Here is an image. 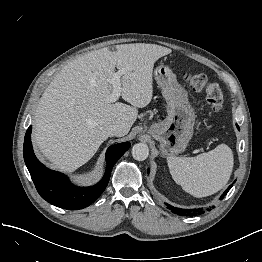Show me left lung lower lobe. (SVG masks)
I'll return each mask as SVG.
<instances>
[{"mask_svg": "<svg viewBox=\"0 0 262 262\" xmlns=\"http://www.w3.org/2000/svg\"><path fill=\"white\" fill-rule=\"evenodd\" d=\"M237 128L239 129L238 125H237ZM148 172H149V170H148ZM232 186L233 185L231 184L227 188V190L223 193V195L220 197V199H222L227 194V192L229 191V189ZM166 205H167V208L170 209L173 213L178 214L180 216H183V215L191 216V215H197V214L204 213V210L202 208H199V209H181V208H176L174 206H171L169 204H166Z\"/></svg>", "mask_w": 262, "mask_h": 262, "instance_id": "0a47b994", "label": "left lung lower lobe"}]
</instances>
